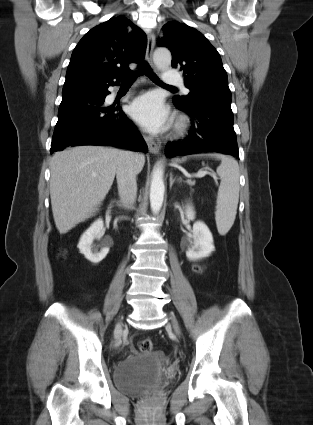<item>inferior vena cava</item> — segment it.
Here are the masks:
<instances>
[{
	"instance_id": "obj_1",
	"label": "inferior vena cava",
	"mask_w": 313,
	"mask_h": 425,
	"mask_svg": "<svg viewBox=\"0 0 313 425\" xmlns=\"http://www.w3.org/2000/svg\"><path fill=\"white\" fill-rule=\"evenodd\" d=\"M136 175L134 153H123L118 162L116 178L120 200L125 208H132L136 200Z\"/></svg>"
}]
</instances>
